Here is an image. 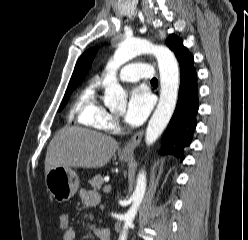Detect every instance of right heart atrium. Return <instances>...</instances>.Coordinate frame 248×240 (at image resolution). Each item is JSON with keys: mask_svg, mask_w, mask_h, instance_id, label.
I'll return each mask as SVG.
<instances>
[{"mask_svg": "<svg viewBox=\"0 0 248 240\" xmlns=\"http://www.w3.org/2000/svg\"><path fill=\"white\" fill-rule=\"evenodd\" d=\"M119 119L110 113H105L101 120V125L106 130H115L118 127Z\"/></svg>", "mask_w": 248, "mask_h": 240, "instance_id": "d8ad5b80", "label": "right heart atrium"}]
</instances>
